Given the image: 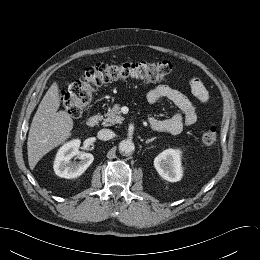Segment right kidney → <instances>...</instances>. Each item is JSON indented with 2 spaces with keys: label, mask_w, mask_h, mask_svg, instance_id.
<instances>
[{
  "label": "right kidney",
  "mask_w": 260,
  "mask_h": 260,
  "mask_svg": "<svg viewBox=\"0 0 260 260\" xmlns=\"http://www.w3.org/2000/svg\"><path fill=\"white\" fill-rule=\"evenodd\" d=\"M80 140L75 139L64 144L57 152L54 161L55 174L62 178H76L82 175L91 165L94 157L90 153L80 152ZM78 156L79 162H72L71 159Z\"/></svg>",
  "instance_id": "ca27d5eb"
}]
</instances>
